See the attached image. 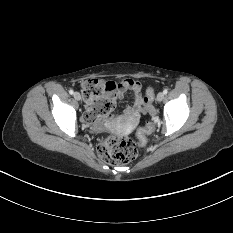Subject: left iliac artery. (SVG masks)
<instances>
[{
	"instance_id": "left-iliac-artery-1",
	"label": "left iliac artery",
	"mask_w": 233,
	"mask_h": 233,
	"mask_svg": "<svg viewBox=\"0 0 233 233\" xmlns=\"http://www.w3.org/2000/svg\"><path fill=\"white\" fill-rule=\"evenodd\" d=\"M163 93H164V94H167V93H168V90H167V89H164V90H163Z\"/></svg>"
}]
</instances>
